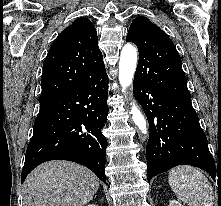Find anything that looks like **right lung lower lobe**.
<instances>
[{
	"instance_id": "1",
	"label": "right lung lower lobe",
	"mask_w": 221,
	"mask_h": 206,
	"mask_svg": "<svg viewBox=\"0 0 221 206\" xmlns=\"http://www.w3.org/2000/svg\"><path fill=\"white\" fill-rule=\"evenodd\" d=\"M107 86L104 73L73 92L40 104L21 182L39 164L56 159L80 163L106 181L107 140L101 130L108 115Z\"/></svg>"
}]
</instances>
